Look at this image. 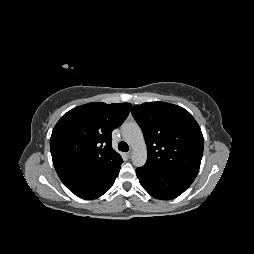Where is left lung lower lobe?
Listing matches in <instances>:
<instances>
[{"label": "left lung lower lobe", "mask_w": 254, "mask_h": 254, "mask_svg": "<svg viewBox=\"0 0 254 254\" xmlns=\"http://www.w3.org/2000/svg\"><path fill=\"white\" fill-rule=\"evenodd\" d=\"M141 186L153 197L170 200L182 194L195 178L170 172L160 171L144 165L136 169Z\"/></svg>", "instance_id": "1"}]
</instances>
